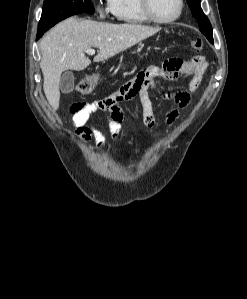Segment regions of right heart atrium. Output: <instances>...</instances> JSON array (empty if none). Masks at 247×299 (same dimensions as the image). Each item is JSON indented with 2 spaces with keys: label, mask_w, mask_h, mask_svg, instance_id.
Masks as SVG:
<instances>
[{
  "label": "right heart atrium",
  "mask_w": 247,
  "mask_h": 299,
  "mask_svg": "<svg viewBox=\"0 0 247 299\" xmlns=\"http://www.w3.org/2000/svg\"><path fill=\"white\" fill-rule=\"evenodd\" d=\"M101 1V0H100ZM109 0H106V2L108 3ZM96 10L97 13L99 14V16L104 17L106 14V9H104L100 4L96 6Z\"/></svg>",
  "instance_id": "right-heart-atrium-1"
}]
</instances>
